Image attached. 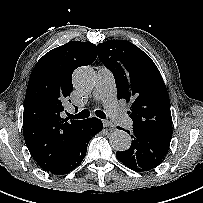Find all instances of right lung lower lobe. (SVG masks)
Returning <instances> with one entry per match:
<instances>
[{"label": "right lung lower lobe", "mask_w": 203, "mask_h": 203, "mask_svg": "<svg viewBox=\"0 0 203 203\" xmlns=\"http://www.w3.org/2000/svg\"><path fill=\"white\" fill-rule=\"evenodd\" d=\"M102 129L103 124L100 119L92 117L84 120L81 126L76 129L58 164L48 172L64 175L75 169L86 155L90 138Z\"/></svg>", "instance_id": "98d812e1"}]
</instances>
